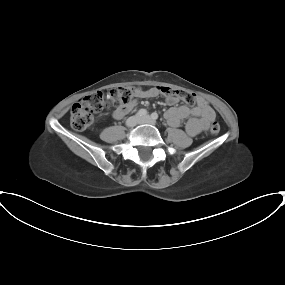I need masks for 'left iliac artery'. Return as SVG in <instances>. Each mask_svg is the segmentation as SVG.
Returning a JSON list of instances; mask_svg holds the SVG:
<instances>
[{
    "mask_svg": "<svg viewBox=\"0 0 285 285\" xmlns=\"http://www.w3.org/2000/svg\"><path fill=\"white\" fill-rule=\"evenodd\" d=\"M151 117L153 120H157L158 119V114L156 112L151 114Z\"/></svg>",
    "mask_w": 285,
    "mask_h": 285,
    "instance_id": "44dca946",
    "label": "left iliac artery"
}]
</instances>
